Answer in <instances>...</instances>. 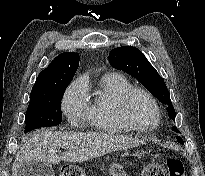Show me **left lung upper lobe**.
I'll return each mask as SVG.
<instances>
[{
  "label": "left lung upper lobe",
  "instance_id": "left-lung-upper-lobe-1",
  "mask_svg": "<svg viewBox=\"0 0 205 176\" xmlns=\"http://www.w3.org/2000/svg\"><path fill=\"white\" fill-rule=\"evenodd\" d=\"M109 62L114 68L137 78L153 95L168 106L169 117L175 120V110L163 78L139 49L132 46L115 48L109 53ZM172 130L179 133L176 127H172ZM177 141L184 144L181 137H177Z\"/></svg>",
  "mask_w": 205,
  "mask_h": 176
}]
</instances>
